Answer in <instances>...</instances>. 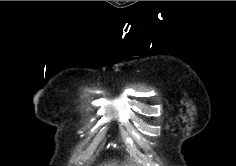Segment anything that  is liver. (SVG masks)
Masks as SVG:
<instances>
[{
    "label": "liver",
    "mask_w": 236,
    "mask_h": 166,
    "mask_svg": "<svg viewBox=\"0 0 236 166\" xmlns=\"http://www.w3.org/2000/svg\"><path fill=\"white\" fill-rule=\"evenodd\" d=\"M105 166H116V165L114 163H112V164H107Z\"/></svg>",
    "instance_id": "6515ba94"
}]
</instances>
